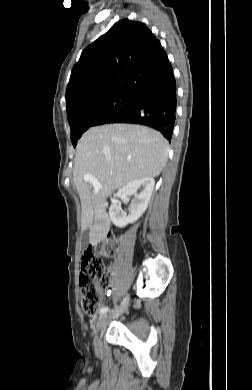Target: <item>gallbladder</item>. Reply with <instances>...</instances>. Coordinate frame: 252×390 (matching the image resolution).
I'll use <instances>...</instances> for the list:
<instances>
[{
    "label": "gallbladder",
    "mask_w": 252,
    "mask_h": 390,
    "mask_svg": "<svg viewBox=\"0 0 252 390\" xmlns=\"http://www.w3.org/2000/svg\"><path fill=\"white\" fill-rule=\"evenodd\" d=\"M89 232H90V228H87L86 230H84L83 234H82V243L84 245L87 244L88 242V239H89Z\"/></svg>",
    "instance_id": "bac80fb5"
}]
</instances>
